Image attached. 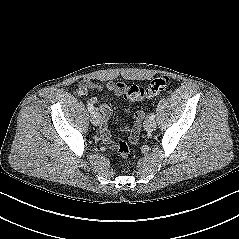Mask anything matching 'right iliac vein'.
<instances>
[{"instance_id":"right-iliac-vein-1","label":"right iliac vein","mask_w":239,"mask_h":239,"mask_svg":"<svg viewBox=\"0 0 239 239\" xmlns=\"http://www.w3.org/2000/svg\"><path fill=\"white\" fill-rule=\"evenodd\" d=\"M101 115L98 111L91 114V122L93 125L98 126L100 124Z\"/></svg>"}]
</instances>
